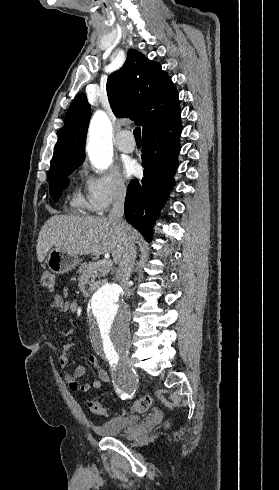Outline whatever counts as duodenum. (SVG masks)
Listing matches in <instances>:
<instances>
[{
  "label": "duodenum",
  "instance_id": "1",
  "mask_svg": "<svg viewBox=\"0 0 279 490\" xmlns=\"http://www.w3.org/2000/svg\"><path fill=\"white\" fill-rule=\"evenodd\" d=\"M102 282L101 281H95L93 282L85 291L84 296L89 297L92 295L94 291H96L100 286Z\"/></svg>",
  "mask_w": 279,
  "mask_h": 490
}]
</instances>
